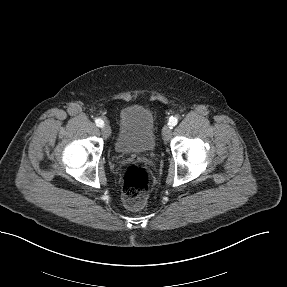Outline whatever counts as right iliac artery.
<instances>
[{"label":"right iliac artery","mask_w":287,"mask_h":287,"mask_svg":"<svg viewBox=\"0 0 287 287\" xmlns=\"http://www.w3.org/2000/svg\"><path fill=\"white\" fill-rule=\"evenodd\" d=\"M95 123L98 127H103L104 126V121L102 119H96Z\"/></svg>","instance_id":"right-iliac-artery-1"}]
</instances>
